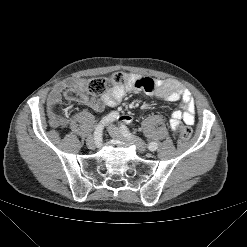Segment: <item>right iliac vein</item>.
Listing matches in <instances>:
<instances>
[{"mask_svg":"<svg viewBox=\"0 0 247 247\" xmlns=\"http://www.w3.org/2000/svg\"><path fill=\"white\" fill-rule=\"evenodd\" d=\"M87 146L90 148V149H94L95 147H97L95 145V138H93L92 136H90L88 139H87V142H86Z\"/></svg>","mask_w":247,"mask_h":247,"instance_id":"obj_1","label":"right iliac vein"}]
</instances>
